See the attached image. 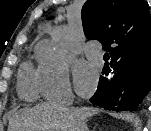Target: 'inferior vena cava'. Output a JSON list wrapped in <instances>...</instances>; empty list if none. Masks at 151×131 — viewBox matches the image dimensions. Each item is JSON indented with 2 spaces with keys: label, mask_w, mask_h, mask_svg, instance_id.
<instances>
[{
  "label": "inferior vena cava",
  "mask_w": 151,
  "mask_h": 131,
  "mask_svg": "<svg viewBox=\"0 0 151 131\" xmlns=\"http://www.w3.org/2000/svg\"><path fill=\"white\" fill-rule=\"evenodd\" d=\"M55 103L61 108H66L72 104V100L68 97V94H63Z\"/></svg>",
  "instance_id": "obj_1"
}]
</instances>
